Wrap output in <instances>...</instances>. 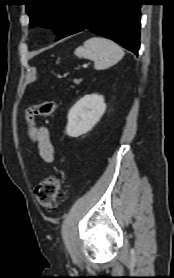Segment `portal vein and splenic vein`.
Masks as SVG:
<instances>
[{
  "instance_id": "portal-vein-and-splenic-vein-1",
  "label": "portal vein and splenic vein",
  "mask_w": 174,
  "mask_h": 278,
  "mask_svg": "<svg viewBox=\"0 0 174 278\" xmlns=\"http://www.w3.org/2000/svg\"><path fill=\"white\" fill-rule=\"evenodd\" d=\"M83 67H84V68H86V67H87V65H84Z\"/></svg>"
}]
</instances>
